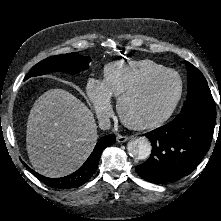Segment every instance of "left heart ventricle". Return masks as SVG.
Masks as SVG:
<instances>
[{
  "label": "left heart ventricle",
  "mask_w": 221,
  "mask_h": 221,
  "mask_svg": "<svg viewBox=\"0 0 221 221\" xmlns=\"http://www.w3.org/2000/svg\"><path fill=\"white\" fill-rule=\"evenodd\" d=\"M177 77L168 74L154 81L145 91L130 99L125 106L133 120L144 121L164 112L177 95Z\"/></svg>",
  "instance_id": "1"
}]
</instances>
